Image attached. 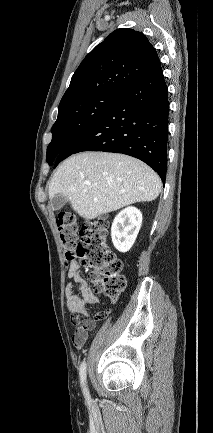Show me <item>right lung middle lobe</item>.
<instances>
[{
	"label": "right lung middle lobe",
	"mask_w": 213,
	"mask_h": 433,
	"mask_svg": "<svg viewBox=\"0 0 213 433\" xmlns=\"http://www.w3.org/2000/svg\"><path fill=\"white\" fill-rule=\"evenodd\" d=\"M121 97V94L98 93L62 105L52 126V141L46 160L52 165L57 156L82 132L99 120Z\"/></svg>",
	"instance_id": "right-lung-middle-lobe-1"
}]
</instances>
